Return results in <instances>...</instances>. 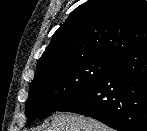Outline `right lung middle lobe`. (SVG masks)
<instances>
[{"instance_id": "obj_1", "label": "right lung middle lobe", "mask_w": 147, "mask_h": 131, "mask_svg": "<svg viewBox=\"0 0 147 131\" xmlns=\"http://www.w3.org/2000/svg\"><path fill=\"white\" fill-rule=\"evenodd\" d=\"M115 63V60L107 58L90 57L35 75L26 101L27 123L31 124L34 117L59 111L80 97L99 82Z\"/></svg>"}]
</instances>
